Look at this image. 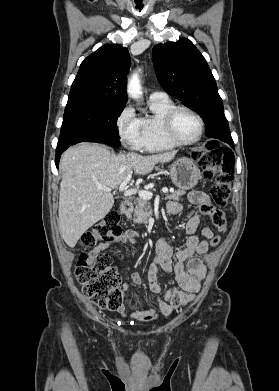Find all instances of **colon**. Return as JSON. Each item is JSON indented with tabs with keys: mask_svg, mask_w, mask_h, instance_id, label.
<instances>
[{
	"mask_svg": "<svg viewBox=\"0 0 279 391\" xmlns=\"http://www.w3.org/2000/svg\"><path fill=\"white\" fill-rule=\"evenodd\" d=\"M192 159L200 166L206 180H214L211 187V197L214 206H201L200 212L210 215L214 227L219 232H226L228 221L224 207L228 203L231 183L233 180L234 155L218 142L210 141L204 149L195 150ZM122 234L120 215L117 211L108 212L99 222L86 231L81 242L85 248L97 243H113ZM220 237L210 240L213 247L218 246ZM76 279L84 296L95 306L102 309L116 310L122 305L123 288L121 277L112 266L108 254L100 253L91 258L82 253L75 269Z\"/></svg>",
	"mask_w": 279,
	"mask_h": 391,
	"instance_id": "colon-1",
	"label": "colon"
}]
</instances>
